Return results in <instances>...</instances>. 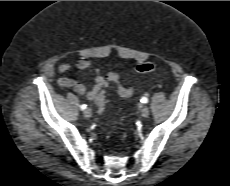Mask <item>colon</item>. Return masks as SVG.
<instances>
[{
  "label": "colon",
  "instance_id": "obj_1",
  "mask_svg": "<svg viewBox=\"0 0 230 186\" xmlns=\"http://www.w3.org/2000/svg\"><path fill=\"white\" fill-rule=\"evenodd\" d=\"M157 69L156 64L151 63V62H144L141 64H138L136 66V72L139 74H146V73H150L153 72ZM108 80L114 82L118 79L117 75L115 73H109L107 75ZM125 93L127 94H132L133 93V89L132 88H127L125 91ZM105 104H106V99L104 98H100L97 101V106L100 112H103L105 109Z\"/></svg>",
  "mask_w": 230,
  "mask_h": 186
}]
</instances>
